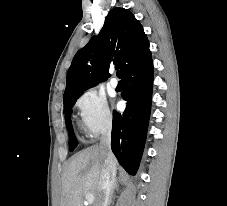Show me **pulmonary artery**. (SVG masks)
I'll return each mask as SVG.
<instances>
[{"instance_id":"1","label":"pulmonary artery","mask_w":227,"mask_h":206,"mask_svg":"<svg viewBox=\"0 0 227 206\" xmlns=\"http://www.w3.org/2000/svg\"><path fill=\"white\" fill-rule=\"evenodd\" d=\"M110 85L115 88L118 86V80L116 78H111L110 79Z\"/></svg>"}]
</instances>
